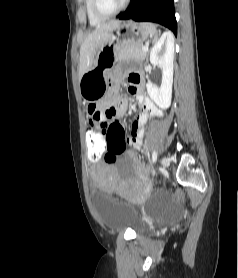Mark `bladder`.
I'll use <instances>...</instances> for the list:
<instances>
[{
  "label": "bladder",
  "instance_id": "obj_1",
  "mask_svg": "<svg viewBox=\"0 0 238 278\" xmlns=\"http://www.w3.org/2000/svg\"><path fill=\"white\" fill-rule=\"evenodd\" d=\"M94 205L102 225L108 230L132 229L142 233L146 229L145 221L131 204H115V198L98 194L94 198Z\"/></svg>",
  "mask_w": 238,
  "mask_h": 278
}]
</instances>
